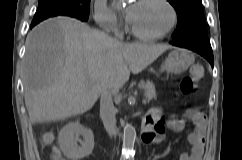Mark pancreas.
<instances>
[{
    "instance_id": "1",
    "label": "pancreas",
    "mask_w": 242,
    "mask_h": 160,
    "mask_svg": "<svg viewBox=\"0 0 242 160\" xmlns=\"http://www.w3.org/2000/svg\"><path fill=\"white\" fill-rule=\"evenodd\" d=\"M139 88L144 90L146 100L148 102L152 101L153 99L156 98V90L155 86L152 82L147 81V82H140L139 83Z\"/></svg>"
}]
</instances>
